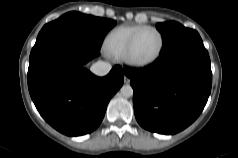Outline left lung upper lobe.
Wrapping results in <instances>:
<instances>
[{
    "label": "left lung upper lobe",
    "mask_w": 238,
    "mask_h": 158,
    "mask_svg": "<svg viewBox=\"0 0 238 158\" xmlns=\"http://www.w3.org/2000/svg\"><path fill=\"white\" fill-rule=\"evenodd\" d=\"M156 27L162 34L163 45L162 50H165L177 43L198 35L195 30L185 28L180 23L175 21H168L164 23H157Z\"/></svg>",
    "instance_id": "left-lung-upper-lobe-1"
}]
</instances>
